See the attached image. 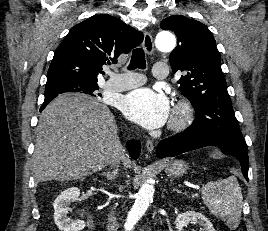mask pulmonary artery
<instances>
[{"instance_id": "1", "label": "pulmonary artery", "mask_w": 268, "mask_h": 231, "mask_svg": "<svg viewBox=\"0 0 268 231\" xmlns=\"http://www.w3.org/2000/svg\"><path fill=\"white\" fill-rule=\"evenodd\" d=\"M153 76L158 80H165L168 75V67L164 62H156L153 66ZM143 83L141 74L128 72L122 75L112 74L107 81L105 89L109 92H124L138 87Z\"/></svg>"}]
</instances>
